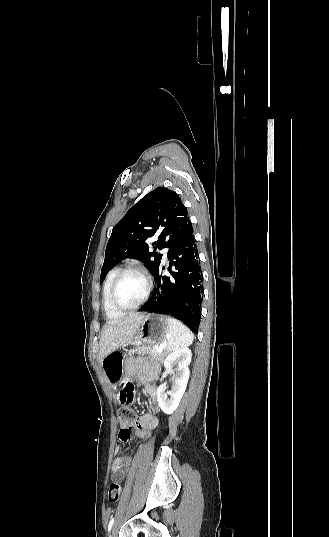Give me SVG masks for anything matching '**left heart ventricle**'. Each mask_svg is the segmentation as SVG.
<instances>
[{"mask_svg": "<svg viewBox=\"0 0 329 537\" xmlns=\"http://www.w3.org/2000/svg\"><path fill=\"white\" fill-rule=\"evenodd\" d=\"M145 289V279L139 273H128L123 276L119 283L117 301L123 306H132L142 298Z\"/></svg>", "mask_w": 329, "mask_h": 537, "instance_id": "b2bd125f", "label": "left heart ventricle"}]
</instances>
